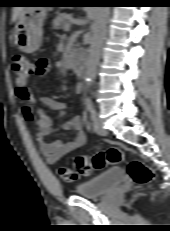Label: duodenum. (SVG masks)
Wrapping results in <instances>:
<instances>
[{
	"label": "duodenum",
	"instance_id": "duodenum-1",
	"mask_svg": "<svg viewBox=\"0 0 170 231\" xmlns=\"http://www.w3.org/2000/svg\"><path fill=\"white\" fill-rule=\"evenodd\" d=\"M68 66L75 69L77 74L82 78L84 75V59L81 57L80 53H76L72 57H68L66 60Z\"/></svg>",
	"mask_w": 170,
	"mask_h": 231
}]
</instances>
